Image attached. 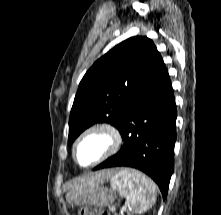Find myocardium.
<instances>
[{
    "instance_id": "f54148a6",
    "label": "myocardium",
    "mask_w": 221,
    "mask_h": 215,
    "mask_svg": "<svg viewBox=\"0 0 221 215\" xmlns=\"http://www.w3.org/2000/svg\"><path fill=\"white\" fill-rule=\"evenodd\" d=\"M97 136L103 140V148L99 155L87 164H83L78 159V149L80 145L88 138ZM122 143V138L119 130L110 123H96L84 131H82L75 139L72 145V157L75 163L82 168H90L102 161L106 160L118 151Z\"/></svg>"
}]
</instances>
